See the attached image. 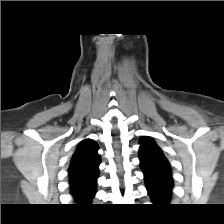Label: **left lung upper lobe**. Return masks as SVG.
<instances>
[{"label":"left lung upper lobe","mask_w":224,"mask_h":224,"mask_svg":"<svg viewBox=\"0 0 224 224\" xmlns=\"http://www.w3.org/2000/svg\"><path fill=\"white\" fill-rule=\"evenodd\" d=\"M139 157L143 171L170 173L169 162L164 157L162 150L150 137H144L141 139Z\"/></svg>","instance_id":"obj_1"}]
</instances>
